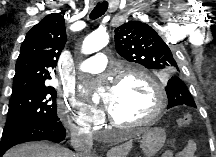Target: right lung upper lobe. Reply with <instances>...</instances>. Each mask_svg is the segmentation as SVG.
I'll return each instance as SVG.
<instances>
[{
    "label": "right lung upper lobe",
    "instance_id": "obj_1",
    "mask_svg": "<svg viewBox=\"0 0 216 157\" xmlns=\"http://www.w3.org/2000/svg\"><path fill=\"white\" fill-rule=\"evenodd\" d=\"M66 43V28L61 13L47 15L26 35L15 67L12 95L28 89L47 87L50 69Z\"/></svg>",
    "mask_w": 216,
    "mask_h": 157
}]
</instances>
